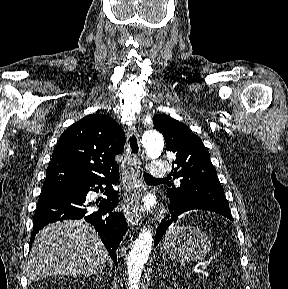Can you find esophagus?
I'll return each mask as SVG.
<instances>
[{
	"mask_svg": "<svg viewBox=\"0 0 288 289\" xmlns=\"http://www.w3.org/2000/svg\"><path fill=\"white\" fill-rule=\"evenodd\" d=\"M139 154V134L136 126L130 125L127 133L126 155L122 164L123 180L127 184L123 195V209L130 226H137L139 222L137 205L131 190L132 179L136 176Z\"/></svg>",
	"mask_w": 288,
	"mask_h": 289,
	"instance_id": "obj_1",
	"label": "esophagus"
}]
</instances>
